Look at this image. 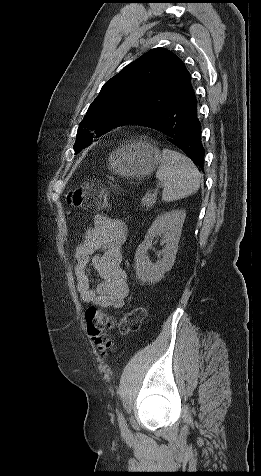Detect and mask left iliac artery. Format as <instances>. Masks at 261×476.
Returning <instances> with one entry per match:
<instances>
[{
    "label": "left iliac artery",
    "mask_w": 261,
    "mask_h": 476,
    "mask_svg": "<svg viewBox=\"0 0 261 476\" xmlns=\"http://www.w3.org/2000/svg\"><path fill=\"white\" fill-rule=\"evenodd\" d=\"M118 420H119L120 427L123 430L127 429V423H126L125 418H124V416L121 412L118 413Z\"/></svg>",
    "instance_id": "44dca946"
}]
</instances>
